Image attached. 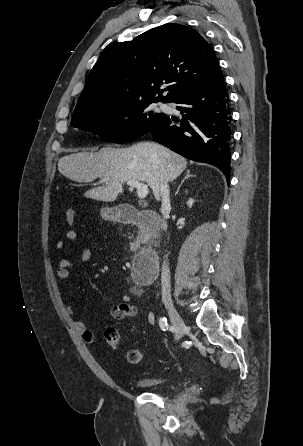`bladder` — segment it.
Segmentation results:
<instances>
[{"mask_svg": "<svg viewBox=\"0 0 303 446\" xmlns=\"http://www.w3.org/2000/svg\"><path fill=\"white\" fill-rule=\"evenodd\" d=\"M172 382L167 375H142L135 380V384L142 388H158Z\"/></svg>", "mask_w": 303, "mask_h": 446, "instance_id": "obj_1", "label": "bladder"}]
</instances>
